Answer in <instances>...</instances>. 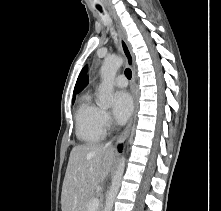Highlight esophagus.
Listing matches in <instances>:
<instances>
[{
    "label": "esophagus",
    "mask_w": 221,
    "mask_h": 211,
    "mask_svg": "<svg viewBox=\"0 0 221 211\" xmlns=\"http://www.w3.org/2000/svg\"><path fill=\"white\" fill-rule=\"evenodd\" d=\"M115 23H116V27H117L119 43H120L122 53L126 59L128 66L130 67V69L132 71V86H131V88H132V97H133V113H132V116H131L130 120L128 121L125 129L123 130V132L120 134V136L117 139V143H122L128 137V135L131 131L133 120H134V117L137 112L136 66H135V56H134V53L132 52L131 45L127 39L125 29L116 17H115Z\"/></svg>",
    "instance_id": "esophagus-1"
}]
</instances>
